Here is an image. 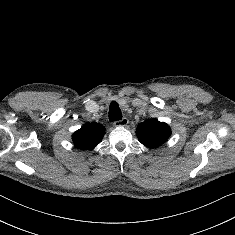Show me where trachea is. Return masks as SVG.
<instances>
[{"instance_id":"3493384b","label":"trachea","mask_w":235,"mask_h":235,"mask_svg":"<svg viewBox=\"0 0 235 235\" xmlns=\"http://www.w3.org/2000/svg\"><path fill=\"white\" fill-rule=\"evenodd\" d=\"M121 119H122V113L119 108V105L115 101L111 102L109 107V120L113 122Z\"/></svg>"}]
</instances>
